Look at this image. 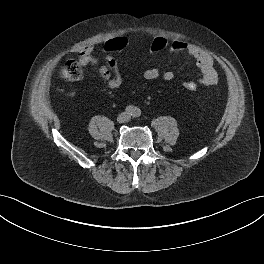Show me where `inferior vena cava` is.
<instances>
[{
    "instance_id": "602c4592",
    "label": "inferior vena cava",
    "mask_w": 264,
    "mask_h": 264,
    "mask_svg": "<svg viewBox=\"0 0 264 264\" xmlns=\"http://www.w3.org/2000/svg\"><path fill=\"white\" fill-rule=\"evenodd\" d=\"M128 119H129V116H128L126 113H122V114L120 115V121H121V122L128 121Z\"/></svg>"
}]
</instances>
